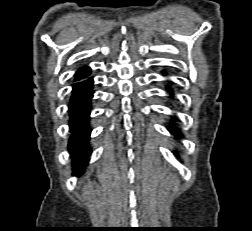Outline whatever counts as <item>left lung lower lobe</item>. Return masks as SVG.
I'll return each mask as SVG.
<instances>
[{
    "label": "left lung lower lobe",
    "mask_w": 252,
    "mask_h": 231,
    "mask_svg": "<svg viewBox=\"0 0 252 231\" xmlns=\"http://www.w3.org/2000/svg\"><path fill=\"white\" fill-rule=\"evenodd\" d=\"M165 74V73H164ZM172 95V94H171ZM173 134H179V130L178 129H176V128H174V126L173 125H171V126H169V128H168Z\"/></svg>",
    "instance_id": "left-lung-lower-lobe-1"
}]
</instances>
